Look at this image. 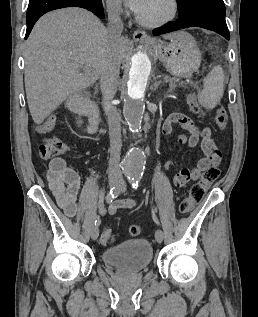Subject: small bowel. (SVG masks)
I'll return each mask as SVG.
<instances>
[{"instance_id":"c3829d8e","label":"small bowel","mask_w":258,"mask_h":317,"mask_svg":"<svg viewBox=\"0 0 258 317\" xmlns=\"http://www.w3.org/2000/svg\"><path fill=\"white\" fill-rule=\"evenodd\" d=\"M84 113L89 120V131L95 132L98 125L96 107L91 103H87ZM55 123V117H48L37 127V130L42 134L50 132L53 130ZM173 124H178L183 130L188 132V135H180L178 137L181 144L195 147L201 142V149L204 153V157L198 160L193 168H181L176 174L174 185L178 188H183L189 181L197 180L208 166L218 165L221 162L222 154L209 127L200 130L187 115L173 113L169 115L163 124L162 132L165 135H169L172 132ZM172 165L173 163L168 161L165 169L169 170ZM47 179L49 188L58 205L67 216L75 217L78 213V197L81 187L78 173L63 158L58 157L51 160ZM134 204L135 202L132 199H124L115 201L106 208L103 204L102 193H99L96 206L98 213L103 216L106 213L114 214L121 208H131Z\"/></svg>"}]
</instances>
